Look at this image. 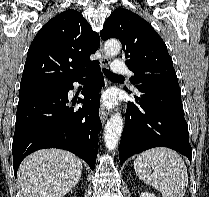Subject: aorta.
<instances>
[{
  "label": "aorta",
  "mask_w": 209,
  "mask_h": 197,
  "mask_svg": "<svg viewBox=\"0 0 209 197\" xmlns=\"http://www.w3.org/2000/svg\"><path fill=\"white\" fill-rule=\"evenodd\" d=\"M105 52L108 56L118 55L121 49L120 42L110 39L105 42ZM123 129V120L120 113H115L105 125L104 139L106 148L109 151L116 149Z\"/></svg>",
  "instance_id": "aorta-1"
}]
</instances>
